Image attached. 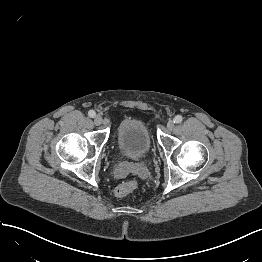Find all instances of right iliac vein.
Masks as SVG:
<instances>
[{
	"label": "right iliac vein",
	"instance_id": "obj_1",
	"mask_svg": "<svg viewBox=\"0 0 262 262\" xmlns=\"http://www.w3.org/2000/svg\"><path fill=\"white\" fill-rule=\"evenodd\" d=\"M102 117L100 115H96L94 118V122L96 125H100L102 123Z\"/></svg>",
	"mask_w": 262,
	"mask_h": 262
}]
</instances>
